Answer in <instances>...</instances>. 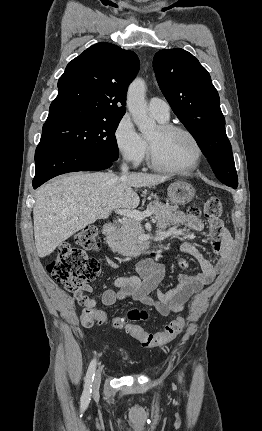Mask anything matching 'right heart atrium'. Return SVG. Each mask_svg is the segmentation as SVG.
I'll use <instances>...</instances> for the list:
<instances>
[{"instance_id":"d8ad5b80","label":"right heart atrium","mask_w":262,"mask_h":431,"mask_svg":"<svg viewBox=\"0 0 262 431\" xmlns=\"http://www.w3.org/2000/svg\"><path fill=\"white\" fill-rule=\"evenodd\" d=\"M114 141L120 154L132 163H139L146 156L147 144L127 114L123 115L116 124Z\"/></svg>"}]
</instances>
